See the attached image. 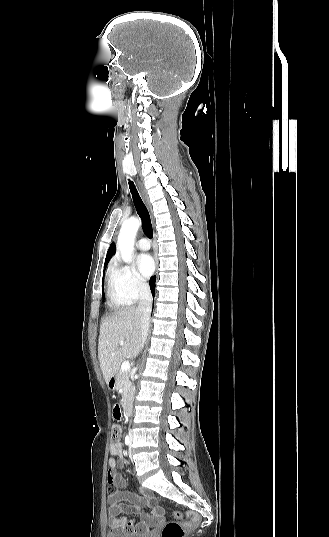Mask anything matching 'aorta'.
<instances>
[{"label":"aorta","instance_id":"1","mask_svg":"<svg viewBox=\"0 0 329 537\" xmlns=\"http://www.w3.org/2000/svg\"><path fill=\"white\" fill-rule=\"evenodd\" d=\"M140 225V219L130 218L121 227L117 247L124 262H130L132 260L134 239Z\"/></svg>","mask_w":329,"mask_h":537}]
</instances>
